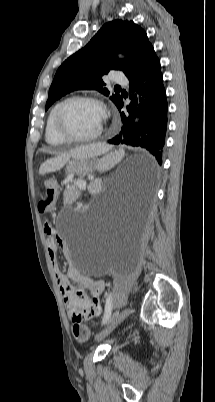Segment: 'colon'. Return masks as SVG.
<instances>
[{
  "instance_id": "1",
  "label": "colon",
  "mask_w": 215,
  "mask_h": 402,
  "mask_svg": "<svg viewBox=\"0 0 215 402\" xmlns=\"http://www.w3.org/2000/svg\"><path fill=\"white\" fill-rule=\"evenodd\" d=\"M45 194L40 201V211L42 213L51 209L56 201L58 193V183L55 178L49 177L44 181ZM73 334L79 341H86L89 338L88 328L76 319L73 325Z\"/></svg>"
}]
</instances>
